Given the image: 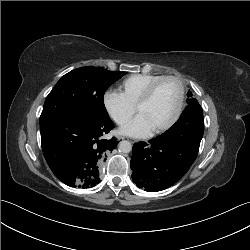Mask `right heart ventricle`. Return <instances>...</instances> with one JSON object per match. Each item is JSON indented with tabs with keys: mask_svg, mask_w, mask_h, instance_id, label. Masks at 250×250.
<instances>
[{
	"mask_svg": "<svg viewBox=\"0 0 250 250\" xmlns=\"http://www.w3.org/2000/svg\"><path fill=\"white\" fill-rule=\"evenodd\" d=\"M163 75L158 74H134L124 78L120 82V92L127 101L135 106L138 99L145 90L156 80L162 78Z\"/></svg>",
	"mask_w": 250,
	"mask_h": 250,
	"instance_id": "1",
	"label": "right heart ventricle"
}]
</instances>
